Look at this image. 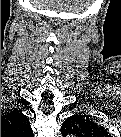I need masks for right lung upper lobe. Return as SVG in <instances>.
I'll return each mask as SVG.
<instances>
[{
  "mask_svg": "<svg viewBox=\"0 0 121 137\" xmlns=\"http://www.w3.org/2000/svg\"><path fill=\"white\" fill-rule=\"evenodd\" d=\"M31 130L27 117L20 110H11L1 116V135L22 134Z\"/></svg>",
  "mask_w": 121,
  "mask_h": 137,
  "instance_id": "right-lung-upper-lobe-1",
  "label": "right lung upper lobe"
}]
</instances>
